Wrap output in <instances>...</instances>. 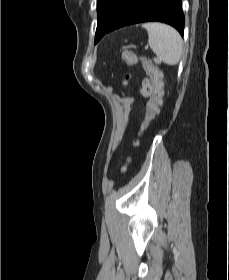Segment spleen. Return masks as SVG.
Returning a JSON list of instances; mask_svg holds the SVG:
<instances>
[{
  "label": "spleen",
  "instance_id": "spleen-1",
  "mask_svg": "<svg viewBox=\"0 0 229 280\" xmlns=\"http://www.w3.org/2000/svg\"><path fill=\"white\" fill-rule=\"evenodd\" d=\"M148 32V44L157 57L167 65H175L182 54V39L179 33L163 23L143 24Z\"/></svg>",
  "mask_w": 229,
  "mask_h": 280
}]
</instances>
